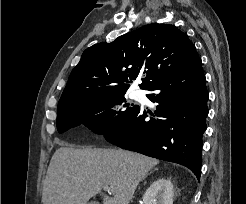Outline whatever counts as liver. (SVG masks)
<instances>
[{"label": "liver", "instance_id": "1", "mask_svg": "<svg viewBox=\"0 0 246 204\" xmlns=\"http://www.w3.org/2000/svg\"><path fill=\"white\" fill-rule=\"evenodd\" d=\"M157 159L121 149L58 148L51 158L42 192L43 204H87L100 194L103 204H129L139 182ZM112 188L113 196L102 192Z\"/></svg>", "mask_w": 246, "mask_h": 204}]
</instances>
